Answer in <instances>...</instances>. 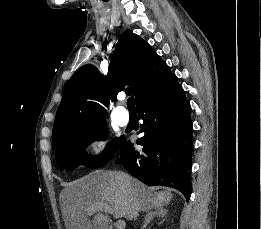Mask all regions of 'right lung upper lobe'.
<instances>
[{
	"label": "right lung upper lobe",
	"instance_id": "1",
	"mask_svg": "<svg viewBox=\"0 0 261 229\" xmlns=\"http://www.w3.org/2000/svg\"><path fill=\"white\" fill-rule=\"evenodd\" d=\"M172 77L169 66L150 45L126 30L117 43L106 80L95 66L86 64L68 81L53 126L52 148L62 144L66 138L64 129L68 127L105 122L107 112L100 103L108 106L124 85H130L125 92L136 97L138 106Z\"/></svg>",
	"mask_w": 261,
	"mask_h": 229
}]
</instances>
